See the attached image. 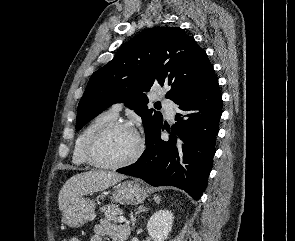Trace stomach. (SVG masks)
Here are the masks:
<instances>
[{
    "mask_svg": "<svg viewBox=\"0 0 295 241\" xmlns=\"http://www.w3.org/2000/svg\"><path fill=\"white\" fill-rule=\"evenodd\" d=\"M147 188L139 180H126L116 186L113 200L120 204L135 205L147 197ZM95 217V203L87 198L69 204L62 212V222L69 227L78 228Z\"/></svg>",
    "mask_w": 295,
    "mask_h": 241,
    "instance_id": "0dacf381",
    "label": "stomach"
}]
</instances>
